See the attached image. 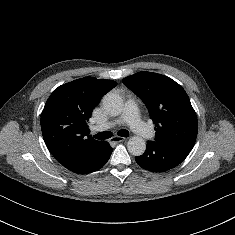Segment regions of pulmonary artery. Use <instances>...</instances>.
Instances as JSON below:
<instances>
[{
	"instance_id": "pulmonary-artery-1",
	"label": "pulmonary artery",
	"mask_w": 235,
	"mask_h": 235,
	"mask_svg": "<svg viewBox=\"0 0 235 235\" xmlns=\"http://www.w3.org/2000/svg\"><path fill=\"white\" fill-rule=\"evenodd\" d=\"M121 124L129 125L134 132L143 137H146L150 133V130L147 127V125L144 122H142L141 119L139 118L138 108L133 100H128L126 102L121 117L96 126L95 130L104 131Z\"/></svg>"
}]
</instances>
